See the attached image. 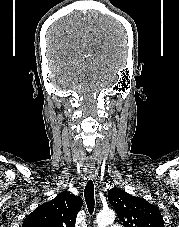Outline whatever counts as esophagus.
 I'll list each match as a JSON object with an SVG mask.
<instances>
[{
  "label": "esophagus",
  "mask_w": 179,
  "mask_h": 227,
  "mask_svg": "<svg viewBox=\"0 0 179 227\" xmlns=\"http://www.w3.org/2000/svg\"><path fill=\"white\" fill-rule=\"evenodd\" d=\"M87 178L88 180H95L94 178V172H93V168L90 167L87 171Z\"/></svg>",
  "instance_id": "obj_1"
}]
</instances>
